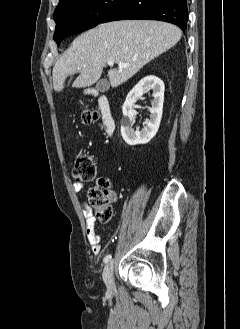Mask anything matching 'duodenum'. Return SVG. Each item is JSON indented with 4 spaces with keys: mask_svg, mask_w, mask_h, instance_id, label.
Returning <instances> with one entry per match:
<instances>
[{
    "mask_svg": "<svg viewBox=\"0 0 240 329\" xmlns=\"http://www.w3.org/2000/svg\"><path fill=\"white\" fill-rule=\"evenodd\" d=\"M101 120L104 131L108 136H112L115 132L116 123L112 113L110 100L106 95H100L98 99Z\"/></svg>",
    "mask_w": 240,
    "mask_h": 329,
    "instance_id": "obj_1",
    "label": "duodenum"
}]
</instances>
